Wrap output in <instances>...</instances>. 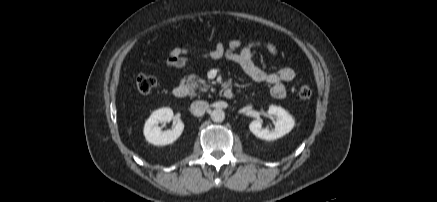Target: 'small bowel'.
Instances as JSON below:
<instances>
[{
    "mask_svg": "<svg viewBox=\"0 0 437 202\" xmlns=\"http://www.w3.org/2000/svg\"><path fill=\"white\" fill-rule=\"evenodd\" d=\"M263 47L272 55L278 54L275 44L265 41H252L242 44L239 39H233L228 44L218 40L212 49L201 52L204 59L219 60L225 58L235 63L251 80L257 83H267L273 97L286 96V83L294 80L295 72L288 66H279L273 72H266L253 62V53L256 48ZM195 51L188 47H175L166 52L165 67L187 71L192 65V56Z\"/></svg>",
    "mask_w": 437,
    "mask_h": 202,
    "instance_id": "obj_1",
    "label": "small bowel"
}]
</instances>
